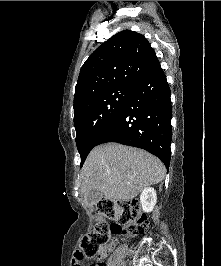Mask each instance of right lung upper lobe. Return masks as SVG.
I'll return each mask as SVG.
<instances>
[{"label":"right lung upper lobe","mask_w":221,"mask_h":266,"mask_svg":"<svg viewBox=\"0 0 221 266\" xmlns=\"http://www.w3.org/2000/svg\"><path fill=\"white\" fill-rule=\"evenodd\" d=\"M160 62L148 40L130 30L101 44L83 64L75 87L74 111L85 97L117 86L134 87Z\"/></svg>","instance_id":"obj_1"}]
</instances>
